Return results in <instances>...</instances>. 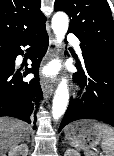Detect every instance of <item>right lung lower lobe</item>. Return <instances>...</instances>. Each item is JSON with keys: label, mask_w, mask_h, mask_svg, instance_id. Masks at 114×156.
Masks as SVG:
<instances>
[{"label": "right lung lower lobe", "mask_w": 114, "mask_h": 156, "mask_svg": "<svg viewBox=\"0 0 114 156\" xmlns=\"http://www.w3.org/2000/svg\"><path fill=\"white\" fill-rule=\"evenodd\" d=\"M8 50L11 61L6 66H0V116H12L27 123H36V111L39 104L41 88L38 68L45 55L49 40L45 24L17 38L0 43ZM31 46L30 60L32 68L15 69V59L23 54L22 46ZM29 73L37 75L30 81H23ZM34 129L36 126L33 127Z\"/></svg>", "instance_id": "98d812e1"}]
</instances>
